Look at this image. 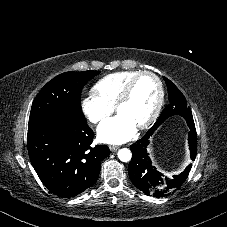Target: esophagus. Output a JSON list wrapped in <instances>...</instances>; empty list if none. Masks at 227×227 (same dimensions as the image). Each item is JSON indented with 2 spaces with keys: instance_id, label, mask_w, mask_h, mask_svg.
Segmentation results:
<instances>
[{
  "instance_id": "obj_1",
  "label": "esophagus",
  "mask_w": 227,
  "mask_h": 227,
  "mask_svg": "<svg viewBox=\"0 0 227 227\" xmlns=\"http://www.w3.org/2000/svg\"><path fill=\"white\" fill-rule=\"evenodd\" d=\"M109 149H110L112 152H115V151H117V150L119 149V147H118V146H114V145H110V146H109Z\"/></svg>"
}]
</instances>
